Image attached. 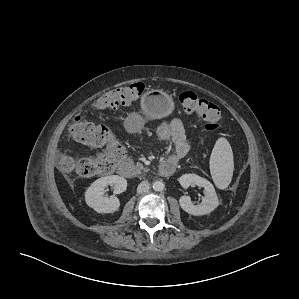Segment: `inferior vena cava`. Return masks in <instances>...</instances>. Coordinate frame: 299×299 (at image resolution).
<instances>
[{"label":"inferior vena cava","mask_w":299,"mask_h":299,"mask_svg":"<svg viewBox=\"0 0 299 299\" xmlns=\"http://www.w3.org/2000/svg\"><path fill=\"white\" fill-rule=\"evenodd\" d=\"M150 189V183L148 181H142L138 187H137V192L139 194L145 193Z\"/></svg>","instance_id":"602c4592"}]
</instances>
